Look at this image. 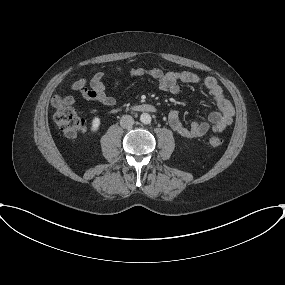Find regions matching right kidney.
<instances>
[{
	"mask_svg": "<svg viewBox=\"0 0 285 285\" xmlns=\"http://www.w3.org/2000/svg\"><path fill=\"white\" fill-rule=\"evenodd\" d=\"M100 124H101V120L99 117H94L92 122H91V127H90V131L92 133H95L98 131L99 127H100Z\"/></svg>",
	"mask_w": 285,
	"mask_h": 285,
	"instance_id": "obj_1",
	"label": "right kidney"
}]
</instances>
